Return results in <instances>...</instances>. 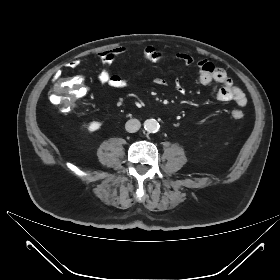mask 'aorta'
Listing matches in <instances>:
<instances>
[{"instance_id": "obj_1", "label": "aorta", "mask_w": 280, "mask_h": 280, "mask_svg": "<svg viewBox=\"0 0 280 280\" xmlns=\"http://www.w3.org/2000/svg\"><path fill=\"white\" fill-rule=\"evenodd\" d=\"M159 123L155 119H148L144 123V128L150 133H155L159 130Z\"/></svg>"}]
</instances>
